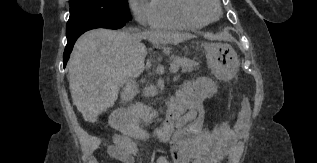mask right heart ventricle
Returning <instances> with one entry per match:
<instances>
[{"instance_id": "obj_1", "label": "right heart ventricle", "mask_w": 317, "mask_h": 163, "mask_svg": "<svg viewBox=\"0 0 317 163\" xmlns=\"http://www.w3.org/2000/svg\"><path fill=\"white\" fill-rule=\"evenodd\" d=\"M154 29L195 30L204 24L185 18L179 9V0H153Z\"/></svg>"}]
</instances>
